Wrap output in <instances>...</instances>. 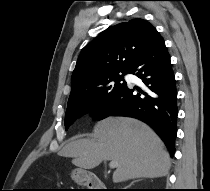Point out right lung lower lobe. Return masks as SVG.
<instances>
[{
  "label": "right lung lower lobe",
  "instance_id": "1",
  "mask_svg": "<svg viewBox=\"0 0 210 191\" xmlns=\"http://www.w3.org/2000/svg\"><path fill=\"white\" fill-rule=\"evenodd\" d=\"M129 73L140 78L145 87L141 90L126 85L97 119L110 115L138 118L157 132L173 156L177 134V90L170 56L161 36L156 37L132 63Z\"/></svg>",
  "mask_w": 210,
  "mask_h": 191
}]
</instances>
